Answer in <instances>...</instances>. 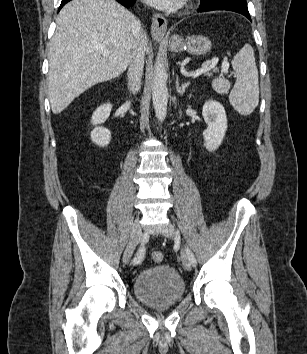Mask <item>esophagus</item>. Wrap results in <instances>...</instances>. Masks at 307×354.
<instances>
[{
	"instance_id": "34e87169",
	"label": "esophagus",
	"mask_w": 307,
	"mask_h": 354,
	"mask_svg": "<svg viewBox=\"0 0 307 354\" xmlns=\"http://www.w3.org/2000/svg\"><path fill=\"white\" fill-rule=\"evenodd\" d=\"M167 30V20L160 14H153L151 24V34L156 40H162Z\"/></svg>"
}]
</instances>
